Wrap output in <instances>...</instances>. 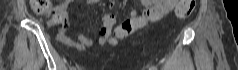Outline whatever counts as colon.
<instances>
[{"label":"colon","mask_w":238,"mask_h":70,"mask_svg":"<svg viewBox=\"0 0 238 70\" xmlns=\"http://www.w3.org/2000/svg\"><path fill=\"white\" fill-rule=\"evenodd\" d=\"M195 0H180L177 2L176 14L180 18L188 17L194 10ZM31 10L37 15H50L53 24L62 21L60 15L53 10L50 0H30Z\"/></svg>","instance_id":"colon-1"}]
</instances>
